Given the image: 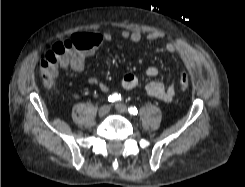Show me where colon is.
Instances as JSON below:
<instances>
[{"label":"colon","mask_w":245,"mask_h":187,"mask_svg":"<svg viewBox=\"0 0 245 187\" xmlns=\"http://www.w3.org/2000/svg\"><path fill=\"white\" fill-rule=\"evenodd\" d=\"M83 46L82 41L77 36L68 40L58 42L54 45L52 52L48 53L42 62L41 74L44 84L51 88L55 85L57 76V68L59 64L66 60L67 56L74 50ZM190 77L186 72L180 75V86L182 90L190 87Z\"/></svg>","instance_id":"obj_1"}]
</instances>
